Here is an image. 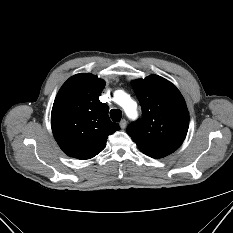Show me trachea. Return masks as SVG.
<instances>
[{
  "mask_svg": "<svg viewBox=\"0 0 233 233\" xmlns=\"http://www.w3.org/2000/svg\"><path fill=\"white\" fill-rule=\"evenodd\" d=\"M110 117L114 122H119L122 117V112L119 109H112L110 111Z\"/></svg>",
  "mask_w": 233,
  "mask_h": 233,
  "instance_id": "1",
  "label": "trachea"
}]
</instances>
